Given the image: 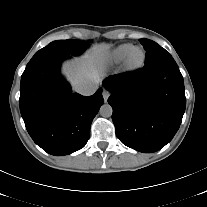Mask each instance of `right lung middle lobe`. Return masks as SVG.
Instances as JSON below:
<instances>
[{
	"label": "right lung middle lobe",
	"instance_id": "right-lung-middle-lobe-1",
	"mask_svg": "<svg viewBox=\"0 0 207 207\" xmlns=\"http://www.w3.org/2000/svg\"><path fill=\"white\" fill-rule=\"evenodd\" d=\"M88 47V43L82 40H56L40 49L30 62L52 56V55H79ZM29 62V63H30Z\"/></svg>",
	"mask_w": 207,
	"mask_h": 207
}]
</instances>
